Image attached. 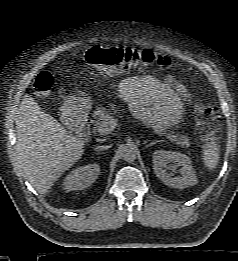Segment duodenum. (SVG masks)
Wrapping results in <instances>:
<instances>
[{
    "instance_id": "1",
    "label": "duodenum",
    "mask_w": 238,
    "mask_h": 261,
    "mask_svg": "<svg viewBox=\"0 0 238 261\" xmlns=\"http://www.w3.org/2000/svg\"><path fill=\"white\" fill-rule=\"evenodd\" d=\"M67 121L78 131L82 139H86L91 125V119L87 114L73 113L67 117Z\"/></svg>"
}]
</instances>
